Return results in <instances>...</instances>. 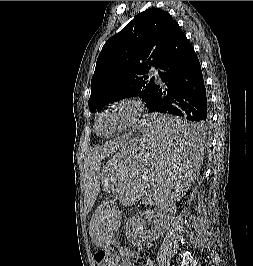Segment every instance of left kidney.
<instances>
[{
  "mask_svg": "<svg viewBox=\"0 0 253 266\" xmlns=\"http://www.w3.org/2000/svg\"><path fill=\"white\" fill-rule=\"evenodd\" d=\"M151 218L152 216L146 214L141 218L131 217L127 221L124 227L125 236L132 244L144 246L156 239V230L146 229V227L151 224ZM158 222L159 221H154L155 224H158Z\"/></svg>",
  "mask_w": 253,
  "mask_h": 266,
  "instance_id": "1",
  "label": "left kidney"
}]
</instances>
